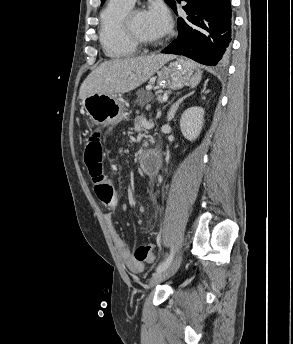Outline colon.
I'll use <instances>...</instances> for the list:
<instances>
[{"label":"colon","instance_id":"1","mask_svg":"<svg viewBox=\"0 0 293 344\" xmlns=\"http://www.w3.org/2000/svg\"><path fill=\"white\" fill-rule=\"evenodd\" d=\"M104 148L100 132H93L88 138L85 160L93 179V187L98 199L108 210L118 205V195L110 179L102 173ZM134 258L139 262L152 263L155 259L154 247L151 243L139 245L134 251Z\"/></svg>","mask_w":293,"mask_h":344}]
</instances>
